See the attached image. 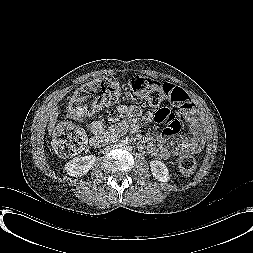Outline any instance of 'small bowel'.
Masks as SVG:
<instances>
[{
  "instance_id": "obj_1",
  "label": "small bowel",
  "mask_w": 253,
  "mask_h": 253,
  "mask_svg": "<svg viewBox=\"0 0 253 253\" xmlns=\"http://www.w3.org/2000/svg\"><path fill=\"white\" fill-rule=\"evenodd\" d=\"M175 88L173 103L179 105V113L191 123L192 137L179 138L180 125L175 120L174 113L168 109L159 110L155 115L156 120L161 123H166L167 127L158 136L145 135L143 137V143L150 155L161 160H166L180 154L196 153L200 151L203 145L204 135L200 126L196 106L186 91L178 87ZM117 110L119 113L130 117H137L139 114L136 106L120 105ZM152 117L153 115L148 113L145 115V120L150 121ZM87 129L92 134L90 143L95 147L108 141L110 137L111 131L107 130L101 121H91L87 124Z\"/></svg>"
}]
</instances>
